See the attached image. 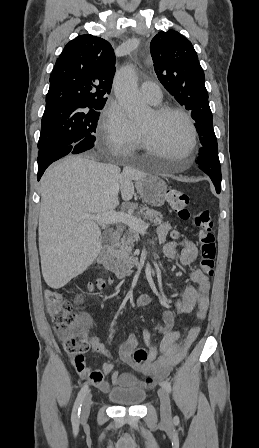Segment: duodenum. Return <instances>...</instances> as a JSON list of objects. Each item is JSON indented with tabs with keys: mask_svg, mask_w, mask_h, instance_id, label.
Here are the masks:
<instances>
[{
	"mask_svg": "<svg viewBox=\"0 0 259 448\" xmlns=\"http://www.w3.org/2000/svg\"><path fill=\"white\" fill-rule=\"evenodd\" d=\"M120 239V233L114 231L111 233L107 243L102 248L98 262L107 270L114 273L118 278H125L133 273V269L124 265L114 255V248Z\"/></svg>",
	"mask_w": 259,
	"mask_h": 448,
	"instance_id": "410a0bca",
	"label": "duodenum"
}]
</instances>
